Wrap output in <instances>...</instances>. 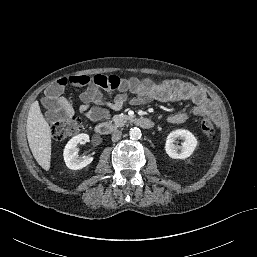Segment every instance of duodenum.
<instances>
[{
	"instance_id": "1",
	"label": "duodenum",
	"mask_w": 257,
	"mask_h": 257,
	"mask_svg": "<svg viewBox=\"0 0 257 257\" xmlns=\"http://www.w3.org/2000/svg\"><path fill=\"white\" fill-rule=\"evenodd\" d=\"M133 122L137 126L144 129H151L154 126L153 121L146 117H137L133 120ZM114 129H115V125L108 121H101L95 127L96 132L100 135L110 134L111 132L114 131Z\"/></svg>"
}]
</instances>
